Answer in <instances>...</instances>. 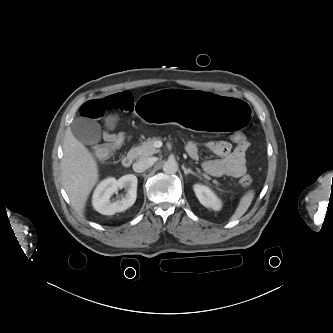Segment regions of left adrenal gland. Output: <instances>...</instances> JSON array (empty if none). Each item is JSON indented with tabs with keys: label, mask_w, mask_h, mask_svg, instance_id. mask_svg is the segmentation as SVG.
Returning a JSON list of instances; mask_svg holds the SVG:
<instances>
[{
	"label": "left adrenal gland",
	"mask_w": 333,
	"mask_h": 333,
	"mask_svg": "<svg viewBox=\"0 0 333 333\" xmlns=\"http://www.w3.org/2000/svg\"><path fill=\"white\" fill-rule=\"evenodd\" d=\"M182 169H183L184 174H185L186 176H187L188 174H192V175H195V176H197V177H200V176L198 175L197 172L192 171L190 168L187 169L186 167L182 166Z\"/></svg>",
	"instance_id": "1"
}]
</instances>
